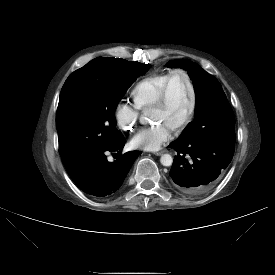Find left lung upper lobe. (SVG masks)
Segmentation results:
<instances>
[{"mask_svg": "<svg viewBox=\"0 0 275 275\" xmlns=\"http://www.w3.org/2000/svg\"><path fill=\"white\" fill-rule=\"evenodd\" d=\"M166 66L185 69L196 94L195 119L177 141L224 138L235 142L234 114L218 80L189 59L169 61Z\"/></svg>", "mask_w": 275, "mask_h": 275, "instance_id": "left-lung-upper-lobe-1", "label": "left lung upper lobe"}]
</instances>
